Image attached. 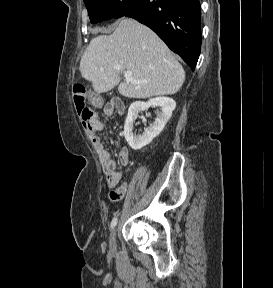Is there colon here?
Returning a JSON list of instances; mask_svg holds the SVG:
<instances>
[{"label":"colon","mask_w":273,"mask_h":288,"mask_svg":"<svg viewBox=\"0 0 273 288\" xmlns=\"http://www.w3.org/2000/svg\"><path fill=\"white\" fill-rule=\"evenodd\" d=\"M73 100L79 114V117L86 128L91 126L92 121L95 119L93 110L86 104V92L85 88L81 85H75L73 88ZM92 102L96 106L101 105V100L97 97L92 99Z\"/></svg>","instance_id":"5ec220e1"}]
</instances>
